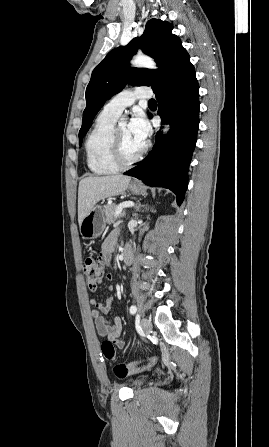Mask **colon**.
Returning a JSON list of instances; mask_svg holds the SVG:
<instances>
[{
    "label": "colon",
    "instance_id": "5ec220e1",
    "mask_svg": "<svg viewBox=\"0 0 269 447\" xmlns=\"http://www.w3.org/2000/svg\"><path fill=\"white\" fill-rule=\"evenodd\" d=\"M104 267L105 256L101 251L94 252L84 259L82 264V271L85 282L91 292H95L101 284ZM101 350L107 361H116L117 352L112 343L103 342L101 345ZM155 362V359H149L144 362H135L130 364L117 363L113 367V374L116 378L122 379L130 374L150 369Z\"/></svg>",
    "mask_w": 269,
    "mask_h": 447
}]
</instances>
